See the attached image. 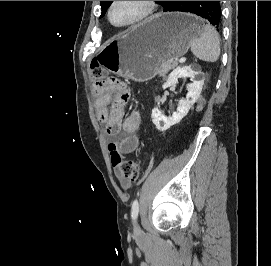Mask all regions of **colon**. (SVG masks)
I'll use <instances>...</instances> for the list:
<instances>
[{"label": "colon", "instance_id": "1", "mask_svg": "<svg viewBox=\"0 0 271 266\" xmlns=\"http://www.w3.org/2000/svg\"><path fill=\"white\" fill-rule=\"evenodd\" d=\"M90 78L95 88L100 91H111L121 98L130 96L127 85L117 78L108 77L107 72L99 65L91 66ZM109 150L112 164L118 170L119 175L129 181L137 180L139 176V165L137 162L122 155L117 142L110 143Z\"/></svg>", "mask_w": 271, "mask_h": 266}]
</instances>
